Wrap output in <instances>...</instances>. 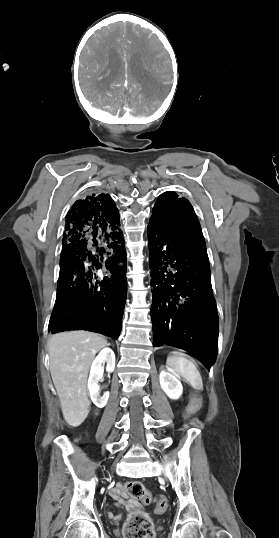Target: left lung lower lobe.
Masks as SVG:
<instances>
[{
  "instance_id": "obj_1",
  "label": "left lung lower lobe",
  "mask_w": 279,
  "mask_h": 538,
  "mask_svg": "<svg viewBox=\"0 0 279 538\" xmlns=\"http://www.w3.org/2000/svg\"><path fill=\"white\" fill-rule=\"evenodd\" d=\"M153 346L188 351L210 370L218 353V314L204 238L148 226Z\"/></svg>"
}]
</instances>
